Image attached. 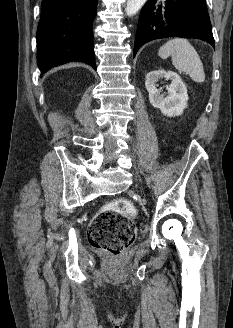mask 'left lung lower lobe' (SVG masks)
<instances>
[{"mask_svg":"<svg viewBox=\"0 0 233 328\" xmlns=\"http://www.w3.org/2000/svg\"><path fill=\"white\" fill-rule=\"evenodd\" d=\"M197 38L215 47L205 0H149L137 27L133 57L146 42L166 37Z\"/></svg>","mask_w":233,"mask_h":328,"instance_id":"0a47b994","label":"left lung lower lobe"}]
</instances>
